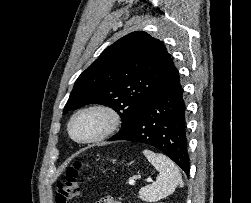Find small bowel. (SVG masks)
Listing matches in <instances>:
<instances>
[{"instance_id":"c3829d8e","label":"small bowel","mask_w":251,"mask_h":203,"mask_svg":"<svg viewBox=\"0 0 251 203\" xmlns=\"http://www.w3.org/2000/svg\"><path fill=\"white\" fill-rule=\"evenodd\" d=\"M97 203H121L113 197H104L100 199Z\"/></svg>"}]
</instances>
